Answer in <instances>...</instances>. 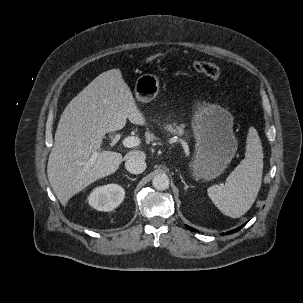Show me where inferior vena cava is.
<instances>
[{"label":"inferior vena cava","instance_id":"602c4592","mask_svg":"<svg viewBox=\"0 0 303 303\" xmlns=\"http://www.w3.org/2000/svg\"><path fill=\"white\" fill-rule=\"evenodd\" d=\"M125 168L132 174H140L146 169V163L142 157H133L126 160Z\"/></svg>","mask_w":303,"mask_h":303}]
</instances>
